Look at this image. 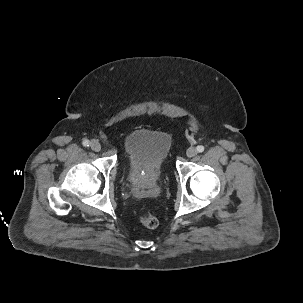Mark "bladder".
<instances>
[{"label":"bladder","mask_w":303,"mask_h":303,"mask_svg":"<svg viewBox=\"0 0 303 303\" xmlns=\"http://www.w3.org/2000/svg\"><path fill=\"white\" fill-rule=\"evenodd\" d=\"M172 147L170 134L153 129H135L124 143L129 179L147 186L160 176Z\"/></svg>","instance_id":"31cf9c89"}]
</instances>
